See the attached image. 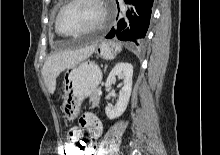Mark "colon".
<instances>
[{"label": "colon", "mask_w": 220, "mask_h": 155, "mask_svg": "<svg viewBox=\"0 0 220 155\" xmlns=\"http://www.w3.org/2000/svg\"><path fill=\"white\" fill-rule=\"evenodd\" d=\"M64 155H89L91 142L88 139H67Z\"/></svg>", "instance_id": "obj_1"}]
</instances>
